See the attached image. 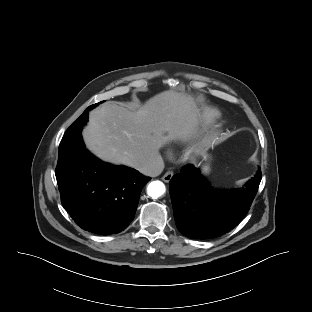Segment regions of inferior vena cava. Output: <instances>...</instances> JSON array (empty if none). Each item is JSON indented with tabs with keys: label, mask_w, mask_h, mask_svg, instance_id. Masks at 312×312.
I'll return each instance as SVG.
<instances>
[{
	"label": "inferior vena cava",
	"mask_w": 312,
	"mask_h": 312,
	"mask_svg": "<svg viewBox=\"0 0 312 312\" xmlns=\"http://www.w3.org/2000/svg\"><path fill=\"white\" fill-rule=\"evenodd\" d=\"M136 169L146 176L155 177L163 171L164 162L162 157L157 155L153 158L141 161Z\"/></svg>",
	"instance_id": "inferior-vena-cava-1"
}]
</instances>
